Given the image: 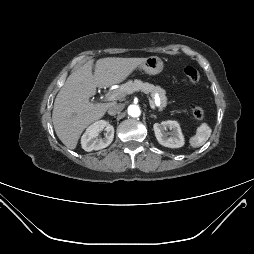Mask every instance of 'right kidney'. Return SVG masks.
<instances>
[{
	"instance_id": "right-kidney-1",
	"label": "right kidney",
	"mask_w": 254,
	"mask_h": 254,
	"mask_svg": "<svg viewBox=\"0 0 254 254\" xmlns=\"http://www.w3.org/2000/svg\"><path fill=\"white\" fill-rule=\"evenodd\" d=\"M105 130V137L98 138L99 133ZM114 138V127L105 120H99L90 125L81 138L82 148L87 151L100 150L108 147Z\"/></svg>"
}]
</instances>
